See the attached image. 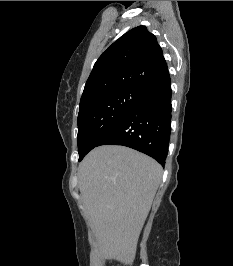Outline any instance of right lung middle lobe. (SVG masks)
Segmentation results:
<instances>
[{"label": "right lung middle lobe", "instance_id": "right-lung-middle-lobe-1", "mask_svg": "<svg viewBox=\"0 0 233 266\" xmlns=\"http://www.w3.org/2000/svg\"><path fill=\"white\" fill-rule=\"evenodd\" d=\"M144 91L122 89L94 96L79 105L78 153L84 157L118 123Z\"/></svg>", "mask_w": 233, "mask_h": 266}]
</instances>
